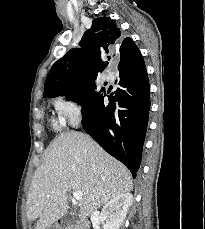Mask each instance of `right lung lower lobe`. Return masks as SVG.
Masks as SVG:
<instances>
[{"instance_id": "right-lung-lower-lobe-1", "label": "right lung lower lobe", "mask_w": 205, "mask_h": 229, "mask_svg": "<svg viewBox=\"0 0 205 229\" xmlns=\"http://www.w3.org/2000/svg\"><path fill=\"white\" fill-rule=\"evenodd\" d=\"M119 88L115 96L95 89L84 97L74 99L82 108V126L109 154L124 163L135 178L140 166L142 147L147 129L150 94L146 66L140 63L119 70Z\"/></svg>"}]
</instances>
